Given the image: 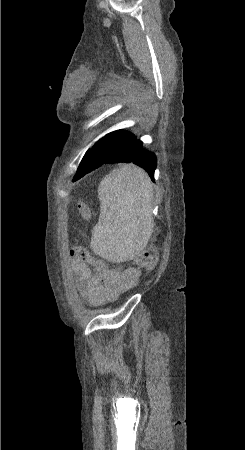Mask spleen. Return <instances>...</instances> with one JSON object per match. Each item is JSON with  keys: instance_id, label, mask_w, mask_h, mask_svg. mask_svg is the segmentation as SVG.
Masks as SVG:
<instances>
[{"instance_id": "1", "label": "spleen", "mask_w": 245, "mask_h": 450, "mask_svg": "<svg viewBox=\"0 0 245 450\" xmlns=\"http://www.w3.org/2000/svg\"><path fill=\"white\" fill-rule=\"evenodd\" d=\"M100 216L90 246L112 262L134 258L154 228L153 190L147 173L135 166L114 169L99 184Z\"/></svg>"}]
</instances>
